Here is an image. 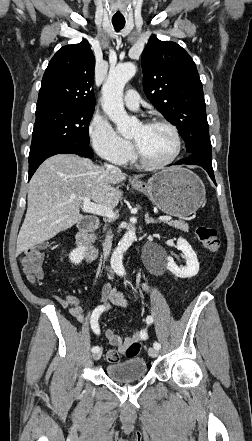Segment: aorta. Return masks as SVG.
Instances as JSON below:
<instances>
[{
	"label": "aorta",
	"mask_w": 252,
	"mask_h": 441,
	"mask_svg": "<svg viewBox=\"0 0 252 441\" xmlns=\"http://www.w3.org/2000/svg\"><path fill=\"white\" fill-rule=\"evenodd\" d=\"M136 66L124 63L110 69L108 78L102 87V108L110 120L115 123L117 131L124 137L132 133L137 125L136 118L129 117L124 109L123 90L126 83L135 75ZM136 238L135 229L131 227L122 237L111 257V267L118 275L125 274L123 256Z\"/></svg>",
	"instance_id": "obj_1"
}]
</instances>
